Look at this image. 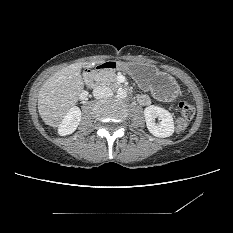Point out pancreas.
<instances>
[{
  "mask_svg": "<svg viewBox=\"0 0 233 233\" xmlns=\"http://www.w3.org/2000/svg\"><path fill=\"white\" fill-rule=\"evenodd\" d=\"M96 81L99 84H105V85H118L117 82V75L114 71L111 70H102L100 72L96 73Z\"/></svg>",
  "mask_w": 233,
  "mask_h": 233,
  "instance_id": "obj_1",
  "label": "pancreas"
}]
</instances>
